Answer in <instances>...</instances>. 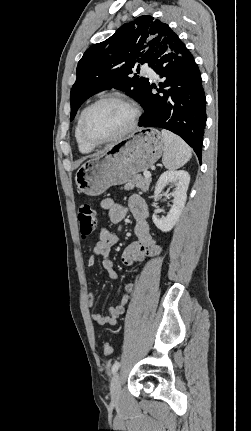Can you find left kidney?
Returning a JSON list of instances; mask_svg holds the SVG:
<instances>
[{
    "mask_svg": "<svg viewBox=\"0 0 251 431\" xmlns=\"http://www.w3.org/2000/svg\"><path fill=\"white\" fill-rule=\"evenodd\" d=\"M189 182L190 176L188 172L184 170L165 171L159 177L154 191L155 200H157L159 194L163 191L166 185L172 184L175 186L174 191L171 193V196L174 197L173 205L171 206L167 216L164 218H158L154 214L152 217L155 226L162 232L172 230L178 221L186 203Z\"/></svg>",
    "mask_w": 251,
    "mask_h": 431,
    "instance_id": "left-kidney-1",
    "label": "left kidney"
}]
</instances>
